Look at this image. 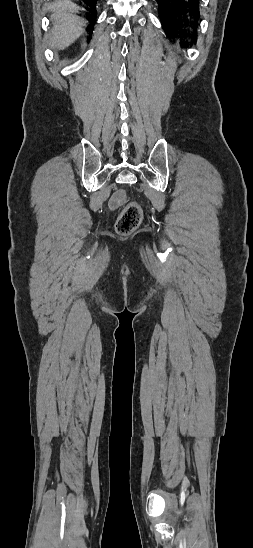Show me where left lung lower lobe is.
Here are the masks:
<instances>
[{"instance_id": "left-lung-lower-lobe-1", "label": "left lung lower lobe", "mask_w": 253, "mask_h": 548, "mask_svg": "<svg viewBox=\"0 0 253 548\" xmlns=\"http://www.w3.org/2000/svg\"><path fill=\"white\" fill-rule=\"evenodd\" d=\"M162 27L169 34L183 26V17L199 18V0H156Z\"/></svg>"}]
</instances>
